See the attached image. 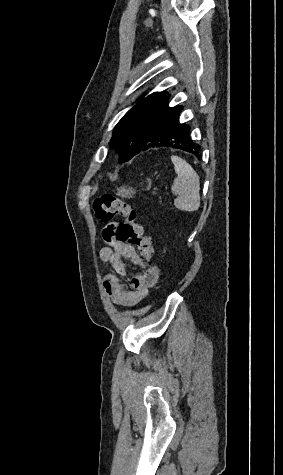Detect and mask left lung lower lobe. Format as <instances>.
<instances>
[{"label":"left lung lower lobe","mask_w":283,"mask_h":475,"mask_svg":"<svg viewBox=\"0 0 283 475\" xmlns=\"http://www.w3.org/2000/svg\"><path fill=\"white\" fill-rule=\"evenodd\" d=\"M169 97L167 95L153 108L140 134H123L118 139L113 148L122 153L121 163L143 151L158 147L180 149L200 158L201 146L191 139L190 127L179 122L182 106L169 107Z\"/></svg>","instance_id":"0a47b994"}]
</instances>
